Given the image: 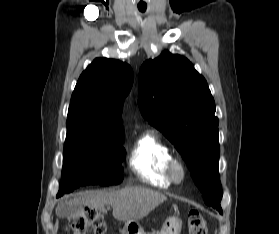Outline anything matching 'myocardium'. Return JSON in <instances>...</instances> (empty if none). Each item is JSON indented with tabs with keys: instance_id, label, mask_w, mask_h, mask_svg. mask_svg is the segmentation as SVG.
Here are the masks:
<instances>
[{
	"instance_id": "1",
	"label": "myocardium",
	"mask_w": 279,
	"mask_h": 234,
	"mask_svg": "<svg viewBox=\"0 0 279 234\" xmlns=\"http://www.w3.org/2000/svg\"><path fill=\"white\" fill-rule=\"evenodd\" d=\"M187 174L184 162L176 157H172L167 164V175L172 183H181Z\"/></svg>"
}]
</instances>
